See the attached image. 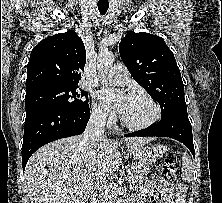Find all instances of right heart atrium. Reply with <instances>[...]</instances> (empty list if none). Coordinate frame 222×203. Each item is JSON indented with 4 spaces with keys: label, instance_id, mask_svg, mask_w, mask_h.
Listing matches in <instances>:
<instances>
[{
    "label": "right heart atrium",
    "instance_id": "1",
    "mask_svg": "<svg viewBox=\"0 0 222 203\" xmlns=\"http://www.w3.org/2000/svg\"><path fill=\"white\" fill-rule=\"evenodd\" d=\"M91 115L92 118L99 123H106L112 119L109 112L98 104H93Z\"/></svg>",
    "mask_w": 222,
    "mask_h": 203
}]
</instances>
